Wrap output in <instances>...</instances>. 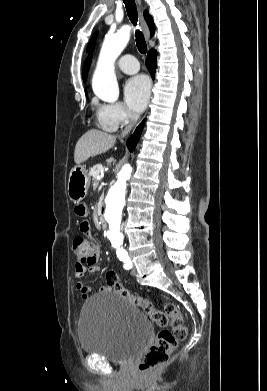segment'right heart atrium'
<instances>
[{
    "instance_id": "obj_1",
    "label": "right heart atrium",
    "mask_w": 267,
    "mask_h": 391,
    "mask_svg": "<svg viewBox=\"0 0 267 391\" xmlns=\"http://www.w3.org/2000/svg\"><path fill=\"white\" fill-rule=\"evenodd\" d=\"M100 123L113 129L124 126L134 119V115L121 103H104L97 107Z\"/></svg>"
}]
</instances>
